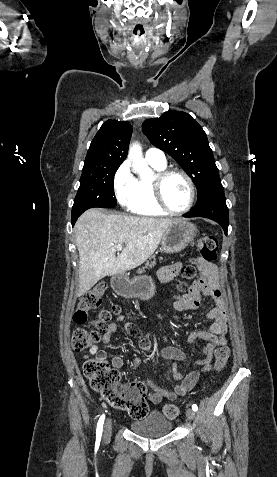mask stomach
<instances>
[{
    "label": "stomach",
    "instance_id": "1",
    "mask_svg": "<svg viewBox=\"0 0 277 477\" xmlns=\"http://www.w3.org/2000/svg\"><path fill=\"white\" fill-rule=\"evenodd\" d=\"M198 233L197 227L184 219H176L168 226L161 241L162 251L166 253H177L191 243ZM113 289L124 297L140 298L148 300L155 293V286L150 277L136 276L132 279L126 276H116L112 278Z\"/></svg>",
    "mask_w": 277,
    "mask_h": 477
}]
</instances>
